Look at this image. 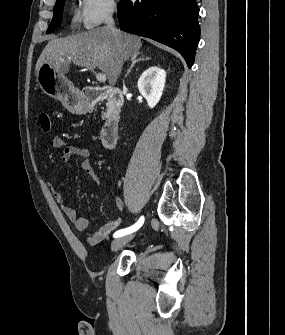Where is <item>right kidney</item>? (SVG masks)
Masks as SVG:
<instances>
[{
  "label": "right kidney",
  "mask_w": 285,
  "mask_h": 335,
  "mask_svg": "<svg viewBox=\"0 0 285 335\" xmlns=\"http://www.w3.org/2000/svg\"><path fill=\"white\" fill-rule=\"evenodd\" d=\"M165 78V70H161L157 66L148 68L140 76L137 82L138 90L141 96L146 98L149 108H155L156 104H158L164 90Z\"/></svg>",
  "instance_id": "1"
}]
</instances>
